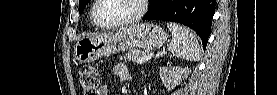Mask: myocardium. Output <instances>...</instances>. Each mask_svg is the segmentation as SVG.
Masks as SVG:
<instances>
[{
	"label": "myocardium",
	"mask_w": 277,
	"mask_h": 95,
	"mask_svg": "<svg viewBox=\"0 0 277 95\" xmlns=\"http://www.w3.org/2000/svg\"><path fill=\"white\" fill-rule=\"evenodd\" d=\"M136 1L139 4V9L135 15L125 18V19L114 21L112 23H102L97 20L96 14H95L96 8L99 5V3L101 2V0H95L93 6L91 8L92 21L101 28H115V27L134 23V22L138 21L140 18H142L147 10V0H136Z\"/></svg>",
	"instance_id": "obj_1"
}]
</instances>
